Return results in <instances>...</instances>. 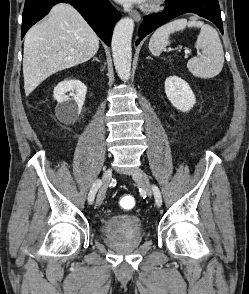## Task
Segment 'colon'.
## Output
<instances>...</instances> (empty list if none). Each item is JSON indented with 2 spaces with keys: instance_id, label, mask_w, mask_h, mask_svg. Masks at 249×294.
<instances>
[{
  "instance_id": "obj_1",
  "label": "colon",
  "mask_w": 249,
  "mask_h": 294,
  "mask_svg": "<svg viewBox=\"0 0 249 294\" xmlns=\"http://www.w3.org/2000/svg\"><path fill=\"white\" fill-rule=\"evenodd\" d=\"M120 204L125 209H131L136 205V201L132 196H123L120 199Z\"/></svg>"
}]
</instances>
